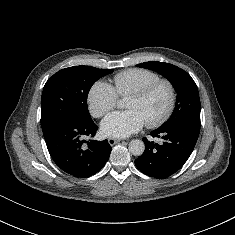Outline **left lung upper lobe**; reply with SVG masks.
Returning a JSON list of instances; mask_svg holds the SVG:
<instances>
[{"label": "left lung upper lobe", "mask_w": 235, "mask_h": 235, "mask_svg": "<svg viewBox=\"0 0 235 235\" xmlns=\"http://www.w3.org/2000/svg\"><path fill=\"white\" fill-rule=\"evenodd\" d=\"M137 66L156 71L166 77L177 93V101L171 117L159 128H167L184 122L200 124L199 92L194 80L187 72L175 65L157 61L145 62Z\"/></svg>", "instance_id": "1"}]
</instances>
